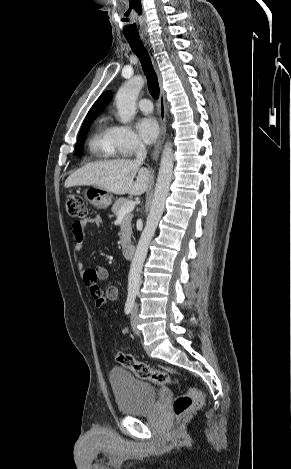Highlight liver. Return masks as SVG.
Instances as JSON below:
<instances>
[{"label": "liver", "instance_id": "6515ba94", "mask_svg": "<svg viewBox=\"0 0 291 469\" xmlns=\"http://www.w3.org/2000/svg\"><path fill=\"white\" fill-rule=\"evenodd\" d=\"M150 181L151 171L141 167V163L118 159L86 164L71 174L64 186L92 185L119 195H141L148 190Z\"/></svg>", "mask_w": 291, "mask_h": 469}]
</instances>
